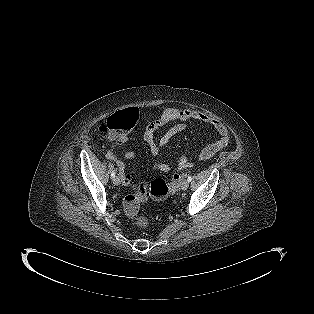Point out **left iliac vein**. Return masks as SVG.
Masks as SVG:
<instances>
[{
  "mask_svg": "<svg viewBox=\"0 0 314 314\" xmlns=\"http://www.w3.org/2000/svg\"><path fill=\"white\" fill-rule=\"evenodd\" d=\"M188 187H189V182H188V180H184V181L182 182V184H181V189H182L183 191H185V190L188 189Z\"/></svg>",
  "mask_w": 314,
  "mask_h": 314,
  "instance_id": "1",
  "label": "left iliac vein"
}]
</instances>
